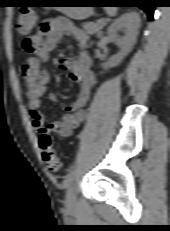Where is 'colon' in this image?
<instances>
[{
    "mask_svg": "<svg viewBox=\"0 0 170 231\" xmlns=\"http://www.w3.org/2000/svg\"><path fill=\"white\" fill-rule=\"evenodd\" d=\"M37 17L31 8H22L17 16V31L23 36L22 50L26 53H34L38 48L39 40L31 32L36 25ZM42 159L51 172H59L62 168L61 161L56 153L51 136L42 133L38 139Z\"/></svg>",
    "mask_w": 170,
    "mask_h": 231,
    "instance_id": "obj_1",
    "label": "colon"
}]
</instances>
